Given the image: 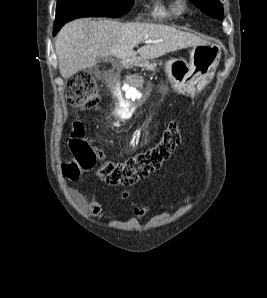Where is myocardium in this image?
Returning a JSON list of instances; mask_svg holds the SVG:
<instances>
[{
    "mask_svg": "<svg viewBox=\"0 0 267 298\" xmlns=\"http://www.w3.org/2000/svg\"><path fill=\"white\" fill-rule=\"evenodd\" d=\"M177 7L179 8V10H186L187 9V1L186 0H175Z\"/></svg>",
    "mask_w": 267,
    "mask_h": 298,
    "instance_id": "obj_1",
    "label": "myocardium"
}]
</instances>
